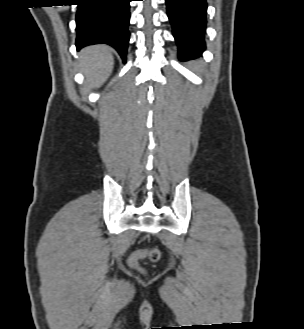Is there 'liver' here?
Here are the masks:
<instances>
[{
	"label": "liver",
	"mask_w": 304,
	"mask_h": 329,
	"mask_svg": "<svg viewBox=\"0 0 304 329\" xmlns=\"http://www.w3.org/2000/svg\"><path fill=\"white\" fill-rule=\"evenodd\" d=\"M81 69L86 76V83L99 88L110 76L114 59L111 48L107 45H93L80 52Z\"/></svg>",
	"instance_id": "6515ba94"
}]
</instances>
